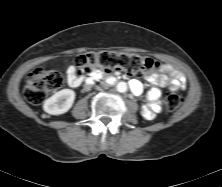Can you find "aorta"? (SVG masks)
<instances>
[{"label":"aorta","mask_w":222,"mask_h":187,"mask_svg":"<svg viewBox=\"0 0 222 187\" xmlns=\"http://www.w3.org/2000/svg\"><path fill=\"white\" fill-rule=\"evenodd\" d=\"M118 92L124 93L127 91V83L126 82H119L116 86Z\"/></svg>","instance_id":"obj_1"}]
</instances>
